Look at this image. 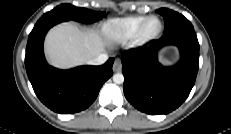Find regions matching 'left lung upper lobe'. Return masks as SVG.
Wrapping results in <instances>:
<instances>
[{"mask_svg":"<svg viewBox=\"0 0 231 134\" xmlns=\"http://www.w3.org/2000/svg\"><path fill=\"white\" fill-rule=\"evenodd\" d=\"M156 11L165 19L164 35L175 30L193 27L189 20L177 12L166 8H161Z\"/></svg>","mask_w":231,"mask_h":134,"instance_id":"left-lung-upper-lobe-1","label":"left lung upper lobe"}]
</instances>
